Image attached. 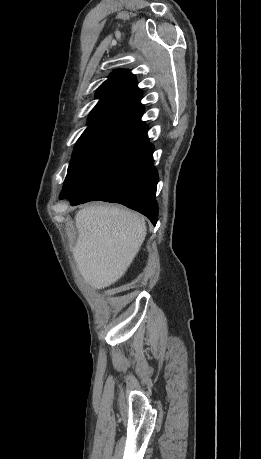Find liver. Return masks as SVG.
<instances>
[{"label": "liver", "instance_id": "6515ba94", "mask_svg": "<svg viewBox=\"0 0 261 459\" xmlns=\"http://www.w3.org/2000/svg\"><path fill=\"white\" fill-rule=\"evenodd\" d=\"M78 239L71 251L83 278L108 287L127 271L146 237L145 219L117 206L94 204L76 213Z\"/></svg>", "mask_w": 261, "mask_h": 459}]
</instances>
